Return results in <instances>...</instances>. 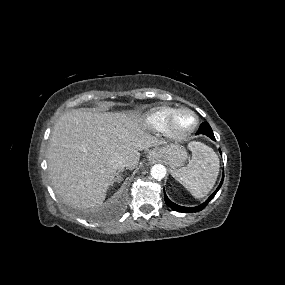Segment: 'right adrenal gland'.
<instances>
[{"label":"right adrenal gland","mask_w":285,"mask_h":285,"mask_svg":"<svg viewBox=\"0 0 285 285\" xmlns=\"http://www.w3.org/2000/svg\"><path fill=\"white\" fill-rule=\"evenodd\" d=\"M121 172H123V170H119L116 174V178L114 179V181L112 182L111 186L114 185V183H120L122 181V176H121Z\"/></svg>","instance_id":"right-adrenal-gland-1"}]
</instances>
